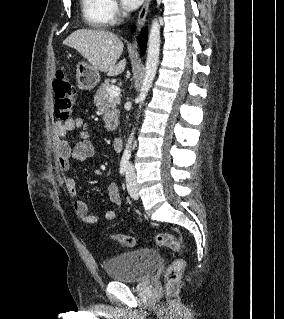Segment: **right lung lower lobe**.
I'll return each mask as SVG.
<instances>
[{
  "label": "right lung lower lobe",
  "mask_w": 284,
  "mask_h": 319,
  "mask_svg": "<svg viewBox=\"0 0 284 319\" xmlns=\"http://www.w3.org/2000/svg\"><path fill=\"white\" fill-rule=\"evenodd\" d=\"M134 30V28H132ZM146 43H147V29H143L141 32V35L138 36V44L142 50V53L145 52L146 48Z\"/></svg>",
  "instance_id": "98d812e1"
}]
</instances>
